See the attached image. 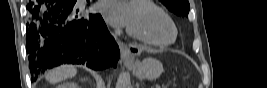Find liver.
<instances>
[{
    "instance_id": "obj_1",
    "label": "liver",
    "mask_w": 267,
    "mask_h": 88,
    "mask_svg": "<svg viewBox=\"0 0 267 88\" xmlns=\"http://www.w3.org/2000/svg\"><path fill=\"white\" fill-rule=\"evenodd\" d=\"M76 73H77V70L74 66L62 65L60 67L55 68L51 72H49L46 75V79L50 83L54 84V83H58V82H61L63 80H66L68 78H71V77L75 76Z\"/></svg>"
}]
</instances>
